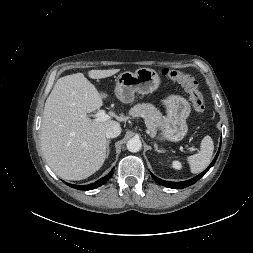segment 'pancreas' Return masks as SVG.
Instances as JSON below:
<instances>
[{
    "label": "pancreas",
    "instance_id": "1",
    "mask_svg": "<svg viewBox=\"0 0 253 253\" xmlns=\"http://www.w3.org/2000/svg\"><path fill=\"white\" fill-rule=\"evenodd\" d=\"M132 117H143L148 130L155 134L164 124L165 118L152 104H137L129 111Z\"/></svg>",
    "mask_w": 253,
    "mask_h": 253
}]
</instances>
